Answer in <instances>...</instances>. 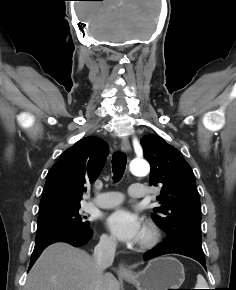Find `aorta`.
<instances>
[{
    "instance_id": "1",
    "label": "aorta",
    "mask_w": 236,
    "mask_h": 290,
    "mask_svg": "<svg viewBox=\"0 0 236 290\" xmlns=\"http://www.w3.org/2000/svg\"><path fill=\"white\" fill-rule=\"evenodd\" d=\"M130 171L135 176H145L149 173L150 167L145 160L135 159L130 163Z\"/></svg>"
}]
</instances>
